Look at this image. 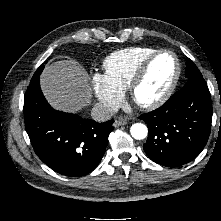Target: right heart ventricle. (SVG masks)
<instances>
[{
  "instance_id": "right-heart-ventricle-1",
  "label": "right heart ventricle",
  "mask_w": 221,
  "mask_h": 221,
  "mask_svg": "<svg viewBox=\"0 0 221 221\" xmlns=\"http://www.w3.org/2000/svg\"><path fill=\"white\" fill-rule=\"evenodd\" d=\"M156 50L152 47H129L114 51L103 61L105 75L123 92L128 89L141 63Z\"/></svg>"
}]
</instances>
